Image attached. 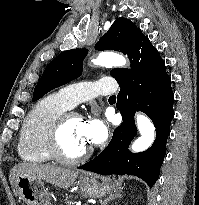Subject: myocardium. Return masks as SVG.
Wrapping results in <instances>:
<instances>
[{
	"mask_svg": "<svg viewBox=\"0 0 199 205\" xmlns=\"http://www.w3.org/2000/svg\"><path fill=\"white\" fill-rule=\"evenodd\" d=\"M79 118L82 117L74 111H65L61 113L55 121L52 123L49 128L46 137H45V151L48 156L61 164H75L80 161L87 159L92 152V148L88 146L82 152L75 156L66 155L61 149V135L62 131L70 118Z\"/></svg>",
	"mask_w": 199,
	"mask_h": 205,
	"instance_id": "myocardium-1",
	"label": "myocardium"
}]
</instances>
